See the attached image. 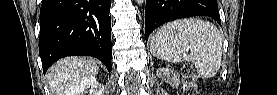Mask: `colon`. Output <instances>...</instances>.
I'll list each match as a JSON object with an SVG mask.
<instances>
[{
    "label": "colon",
    "mask_w": 277,
    "mask_h": 95,
    "mask_svg": "<svg viewBox=\"0 0 277 95\" xmlns=\"http://www.w3.org/2000/svg\"><path fill=\"white\" fill-rule=\"evenodd\" d=\"M182 83H183V94L194 95L198 94L196 86L197 73L195 68L186 64L181 68Z\"/></svg>",
    "instance_id": "colon-1"
}]
</instances>
